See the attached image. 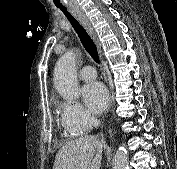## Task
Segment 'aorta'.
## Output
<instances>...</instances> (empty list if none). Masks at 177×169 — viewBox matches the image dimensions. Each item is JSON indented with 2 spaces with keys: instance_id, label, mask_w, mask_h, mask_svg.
Returning <instances> with one entry per match:
<instances>
[{
  "instance_id": "762f6f07",
  "label": "aorta",
  "mask_w": 177,
  "mask_h": 169,
  "mask_svg": "<svg viewBox=\"0 0 177 169\" xmlns=\"http://www.w3.org/2000/svg\"><path fill=\"white\" fill-rule=\"evenodd\" d=\"M53 83L60 96L65 100H76L79 97L76 55L73 51H67L56 62ZM113 169H128V155L124 147L117 150L113 159Z\"/></svg>"
}]
</instances>
